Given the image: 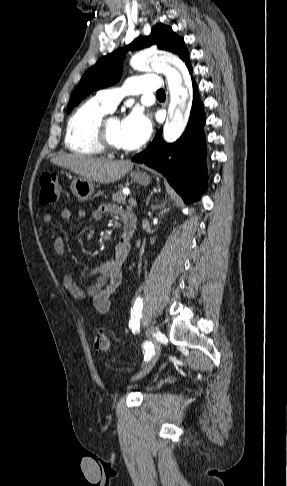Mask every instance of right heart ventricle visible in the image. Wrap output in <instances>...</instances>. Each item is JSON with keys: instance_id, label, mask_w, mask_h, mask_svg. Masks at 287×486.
Returning <instances> with one entry per match:
<instances>
[{"instance_id": "right-heart-ventricle-1", "label": "right heart ventricle", "mask_w": 287, "mask_h": 486, "mask_svg": "<svg viewBox=\"0 0 287 486\" xmlns=\"http://www.w3.org/2000/svg\"><path fill=\"white\" fill-rule=\"evenodd\" d=\"M109 110L96 98L81 104L70 116L65 133V146L78 155L96 157L103 154L97 141V128Z\"/></svg>"}]
</instances>
